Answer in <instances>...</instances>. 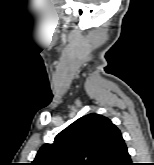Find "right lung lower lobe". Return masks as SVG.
<instances>
[{
    "label": "right lung lower lobe",
    "mask_w": 154,
    "mask_h": 165,
    "mask_svg": "<svg viewBox=\"0 0 154 165\" xmlns=\"http://www.w3.org/2000/svg\"><path fill=\"white\" fill-rule=\"evenodd\" d=\"M101 165H133L122 135L113 143L109 155Z\"/></svg>",
    "instance_id": "obj_1"
}]
</instances>
